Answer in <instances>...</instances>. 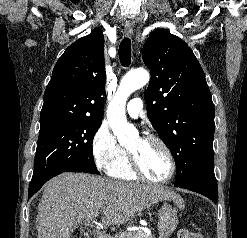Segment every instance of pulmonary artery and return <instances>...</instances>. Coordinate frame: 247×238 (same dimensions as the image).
<instances>
[{"mask_svg": "<svg viewBox=\"0 0 247 238\" xmlns=\"http://www.w3.org/2000/svg\"><path fill=\"white\" fill-rule=\"evenodd\" d=\"M143 104L140 98H134L127 104L126 111L132 118H137L142 111Z\"/></svg>", "mask_w": 247, "mask_h": 238, "instance_id": "obj_1", "label": "pulmonary artery"}]
</instances>
